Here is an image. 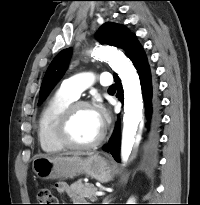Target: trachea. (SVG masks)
Listing matches in <instances>:
<instances>
[{
    "label": "trachea",
    "instance_id": "trachea-1",
    "mask_svg": "<svg viewBox=\"0 0 200 205\" xmlns=\"http://www.w3.org/2000/svg\"><path fill=\"white\" fill-rule=\"evenodd\" d=\"M115 89H116L115 85H111V86L109 87V90H115Z\"/></svg>",
    "mask_w": 200,
    "mask_h": 205
}]
</instances>
